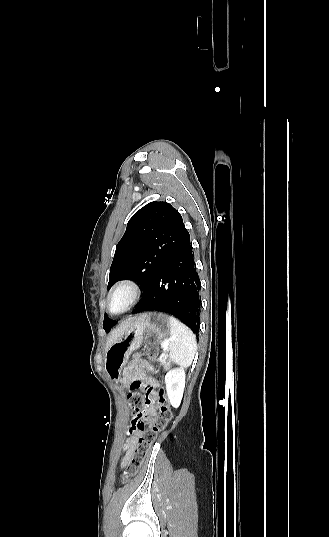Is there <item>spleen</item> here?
Here are the masks:
<instances>
[{
  "label": "spleen",
  "mask_w": 329,
  "mask_h": 537,
  "mask_svg": "<svg viewBox=\"0 0 329 537\" xmlns=\"http://www.w3.org/2000/svg\"><path fill=\"white\" fill-rule=\"evenodd\" d=\"M169 356L176 364L189 367L197 351L193 332L175 317H170Z\"/></svg>",
  "instance_id": "spleen-1"
}]
</instances>
